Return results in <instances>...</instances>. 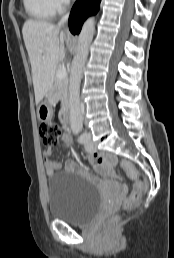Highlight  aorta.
<instances>
[{
	"label": "aorta",
	"mask_w": 174,
	"mask_h": 258,
	"mask_svg": "<svg viewBox=\"0 0 174 258\" xmlns=\"http://www.w3.org/2000/svg\"><path fill=\"white\" fill-rule=\"evenodd\" d=\"M94 32V19L88 18L83 24L79 34L77 52L71 65L69 82V109L70 127L73 131H80L83 127V116L79 102L80 83L83 66L88 56L89 46L92 42Z\"/></svg>",
	"instance_id": "aorta-1"
}]
</instances>
